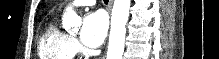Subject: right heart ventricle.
<instances>
[{"mask_svg": "<svg viewBox=\"0 0 219 59\" xmlns=\"http://www.w3.org/2000/svg\"><path fill=\"white\" fill-rule=\"evenodd\" d=\"M75 48L70 36L52 20L42 32L38 42L40 59H73Z\"/></svg>", "mask_w": 219, "mask_h": 59, "instance_id": "obj_1", "label": "right heart ventricle"}]
</instances>
